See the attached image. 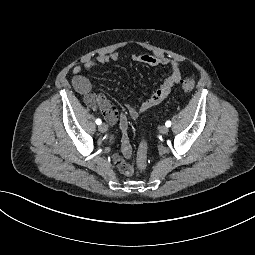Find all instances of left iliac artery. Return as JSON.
Wrapping results in <instances>:
<instances>
[{"mask_svg":"<svg viewBox=\"0 0 255 255\" xmlns=\"http://www.w3.org/2000/svg\"><path fill=\"white\" fill-rule=\"evenodd\" d=\"M165 125H166L167 127H170V126H171V122H170V121H167V122L165 123Z\"/></svg>","mask_w":255,"mask_h":255,"instance_id":"44dca946","label":"left iliac artery"}]
</instances>
